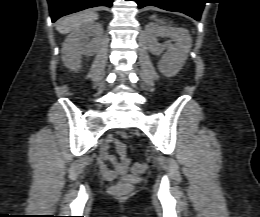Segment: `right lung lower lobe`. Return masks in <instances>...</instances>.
<instances>
[{
	"label": "right lung lower lobe",
	"instance_id": "1",
	"mask_svg": "<svg viewBox=\"0 0 260 217\" xmlns=\"http://www.w3.org/2000/svg\"><path fill=\"white\" fill-rule=\"evenodd\" d=\"M52 22L58 18L96 6L111 7L113 0H48Z\"/></svg>",
	"mask_w": 260,
	"mask_h": 217
}]
</instances>
